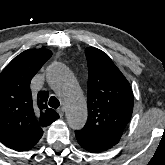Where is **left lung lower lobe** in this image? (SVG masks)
Returning a JSON list of instances; mask_svg holds the SVG:
<instances>
[{
	"label": "left lung lower lobe",
	"instance_id": "1",
	"mask_svg": "<svg viewBox=\"0 0 165 165\" xmlns=\"http://www.w3.org/2000/svg\"><path fill=\"white\" fill-rule=\"evenodd\" d=\"M75 135L79 145L91 153H99L112 147L82 130L75 131Z\"/></svg>",
	"mask_w": 165,
	"mask_h": 165
}]
</instances>
